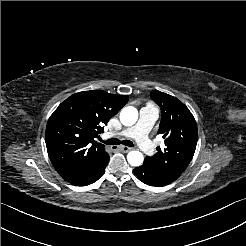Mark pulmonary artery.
Masks as SVG:
<instances>
[{
	"label": "pulmonary artery",
	"mask_w": 246,
	"mask_h": 246,
	"mask_svg": "<svg viewBox=\"0 0 246 246\" xmlns=\"http://www.w3.org/2000/svg\"><path fill=\"white\" fill-rule=\"evenodd\" d=\"M159 115V110L151 105L141 109L140 119L137 124L125 128L122 134L134 138L144 150L151 145L147 142V134Z\"/></svg>",
	"instance_id": "obj_1"
}]
</instances>
